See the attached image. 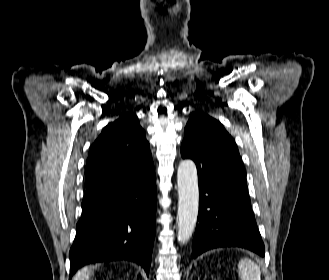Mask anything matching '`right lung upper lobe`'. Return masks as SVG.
<instances>
[{
  "label": "right lung upper lobe",
  "mask_w": 329,
  "mask_h": 280,
  "mask_svg": "<svg viewBox=\"0 0 329 280\" xmlns=\"http://www.w3.org/2000/svg\"><path fill=\"white\" fill-rule=\"evenodd\" d=\"M154 170L138 117L127 113L108 124L91 145L86 165V187L109 177L136 176Z\"/></svg>",
  "instance_id": "right-lung-upper-lobe-1"
}]
</instances>
